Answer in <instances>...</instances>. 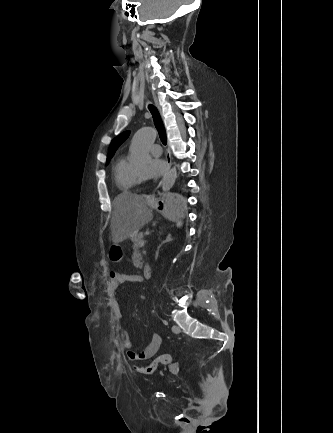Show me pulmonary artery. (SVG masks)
Wrapping results in <instances>:
<instances>
[{"mask_svg":"<svg viewBox=\"0 0 333 433\" xmlns=\"http://www.w3.org/2000/svg\"><path fill=\"white\" fill-rule=\"evenodd\" d=\"M150 152L153 156H160L162 154V147L159 144H154L150 148Z\"/></svg>","mask_w":333,"mask_h":433,"instance_id":"e3ab8cb5","label":"pulmonary artery"}]
</instances>
